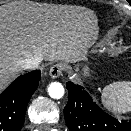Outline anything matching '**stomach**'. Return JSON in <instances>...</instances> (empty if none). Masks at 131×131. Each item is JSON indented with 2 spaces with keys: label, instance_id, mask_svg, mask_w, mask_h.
<instances>
[{
  "label": "stomach",
  "instance_id": "1",
  "mask_svg": "<svg viewBox=\"0 0 131 131\" xmlns=\"http://www.w3.org/2000/svg\"><path fill=\"white\" fill-rule=\"evenodd\" d=\"M85 70H87V67H86V68H84V71H85Z\"/></svg>",
  "mask_w": 131,
  "mask_h": 131
}]
</instances>
